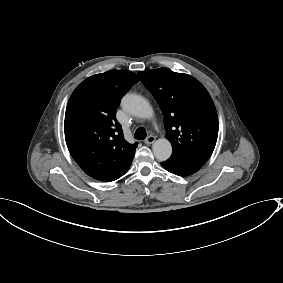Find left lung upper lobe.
<instances>
[{
    "mask_svg": "<svg viewBox=\"0 0 283 283\" xmlns=\"http://www.w3.org/2000/svg\"><path fill=\"white\" fill-rule=\"evenodd\" d=\"M163 114L171 157L204 165L218 137V117L212 98L194 77L160 68L138 72Z\"/></svg>",
    "mask_w": 283,
    "mask_h": 283,
    "instance_id": "5c2ea615",
    "label": "left lung upper lobe"
}]
</instances>
